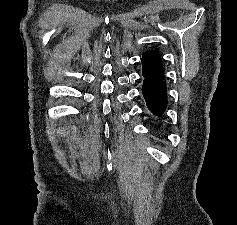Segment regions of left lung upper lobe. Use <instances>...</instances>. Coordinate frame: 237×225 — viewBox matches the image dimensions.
Listing matches in <instances>:
<instances>
[{
  "label": "left lung upper lobe",
  "mask_w": 237,
  "mask_h": 225,
  "mask_svg": "<svg viewBox=\"0 0 237 225\" xmlns=\"http://www.w3.org/2000/svg\"><path fill=\"white\" fill-rule=\"evenodd\" d=\"M142 73L145 77L163 80L161 59L157 52L148 50L143 54Z\"/></svg>",
  "instance_id": "obj_1"
}]
</instances>
